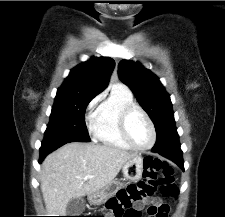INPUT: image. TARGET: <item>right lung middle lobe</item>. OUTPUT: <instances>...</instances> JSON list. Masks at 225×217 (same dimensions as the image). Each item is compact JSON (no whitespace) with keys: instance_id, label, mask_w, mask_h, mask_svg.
<instances>
[{"instance_id":"1","label":"right lung middle lobe","mask_w":225,"mask_h":217,"mask_svg":"<svg viewBox=\"0 0 225 217\" xmlns=\"http://www.w3.org/2000/svg\"><path fill=\"white\" fill-rule=\"evenodd\" d=\"M94 96L56 95L44 141L89 142L85 110Z\"/></svg>"}]
</instances>
